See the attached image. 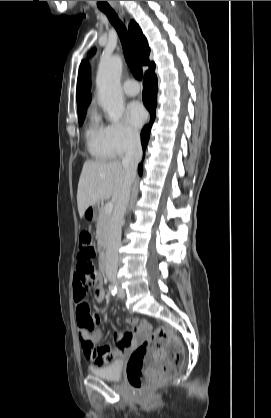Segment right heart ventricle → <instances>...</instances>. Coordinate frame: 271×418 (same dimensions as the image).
<instances>
[{"mask_svg": "<svg viewBox=\"0 0 271 418\" xmlns=\"http://www.w3.org/2000/svg\"><path fill=\"white\" fill-rule=\"evenodd\" d=\"M86 147L90 155L97 160H110L116 155L112 151L107 137L106 126L97 115L92 113L85 130Z\"/></svg>", "mask_w": 271, "mask_h": 418, "instance_id": "obj_1", "label": "right heart ventricle"}]
</instances>
